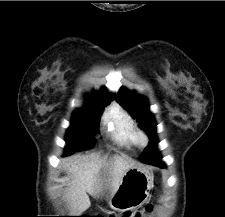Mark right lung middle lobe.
<instances>
[{
    "label": "right lung middle lobe",
    "mask_w": 225,
    "mask_h": 217,
    "mask_svg": "<svg viewBox=\"0 0 225 217\" xmlns=\"http://www.w3.org/2000/svg\"><path fill=\"white\" fill-rule=\"evenodd\" d=\"M111 99H99L97 102L86 104L85 109L74 111L73 125L68 128L65 141L68 147L65 149V156L76 151L89 149L93 144L91 136L98 130L99 114L104 105Z\"/></svg>",
    "instance_id": "1"
}]
</instances>
